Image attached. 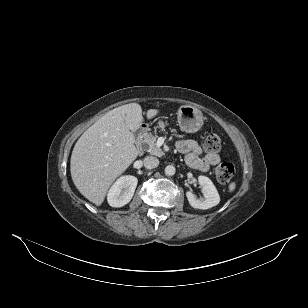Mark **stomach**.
I'll return each mask as SVG.
<instances>
[{"label": "stomach", "mask_w": 308, "mask_h": 308, "mask_svg": "<svg viewBox=\"0 0 308 308\" xmlns=\"http://www.w3.org/2000/svg\"><path fill=\"white\" fill-rule=\"evenodd\" d=\"M177 120L182 131L194 133L200 130L203 125V114L194 106L183 105L178 110Z\"/></svg>", "instance_id": "0dacf381"}]
</instances>
